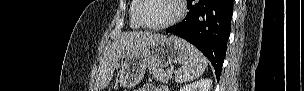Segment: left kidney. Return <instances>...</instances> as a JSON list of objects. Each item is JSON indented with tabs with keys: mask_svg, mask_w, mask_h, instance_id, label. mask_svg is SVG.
I'll return each mask as SVG.
<instances>
[{
	"mask_svg": "<svg viewBox=\"0 0 304 91\" xmlns=\"http://www.w3.org/2000/svg\"><path fill=\"white\" fill-rule=\"evenodd\" d=\"M211 85V79H201L197 82L181 87L180 91H210Z\"/></svg>",
	"mask_w": 304,
	"mask_h": 91,
	"instance_id": "obj_1",
	"label": "left kidney"
}]
</instances>
